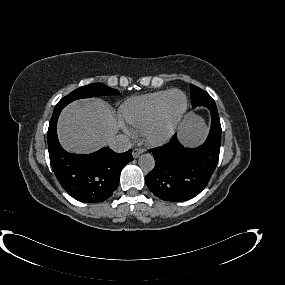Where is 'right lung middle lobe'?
Segmentation results:
<instances>
[{"label":"right lung middle lobe","mask_w":285,"mask_h":285,"mask_svg":"<svg viewBox=\"0 0 285 285\" xmlns=\"http://www.w3.org/2000/svg\"><path fill=\"white\" fill-rule=\"evenodd\" d=\"M119 92L116 89L110 88L101 83H92L83 87H80L67 96L63 97L55 106V110L63 109L70 102L81 99V98H89L94 96L101 95H116Z\"/></svg>","instance_id":"obj_1"}]
</instances>
